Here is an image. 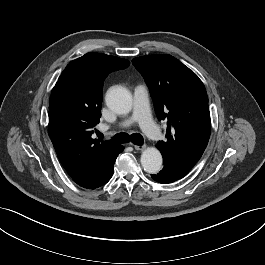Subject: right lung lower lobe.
Wrapping results in <instances>:
<instances>
[{
  "mask_svg": "<svg viewBox=\"0 0 265 265\" xmlns=\"http://www.w3.org/2000/svg\"><path fill=\"white\" fill-rule=\"evenodd\" d=\"M123 149V146L118 145L111 151L101 153L81 172L71 175V178L79 186L88 189L106 184L113 175L115 160Z\"/></svg>",
  "mask_w": 265,
  "mask_h": 265,
  "instance_id": "1",
  "label": "right lung lower lobe"
}]
</instances>
